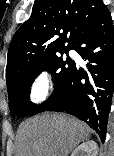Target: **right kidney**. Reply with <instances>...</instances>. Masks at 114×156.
I'll return each mask as SVG.
<instances>
[{"label": "right kidney", "mask_w": 114, "mask_h": 156, "mask_svg": "<svg viewBox=\"0 0 114 156\" xmlns=\"http://www.w3.org/2000/svg\"><path fill=\"white\" fill-rule=\"evenodd\" d=\"M98 145L95 141L90 140L83 142L74 149L71 156H97Z\"/></svg>", "instance_id": "obj_1"}]
</instances>
